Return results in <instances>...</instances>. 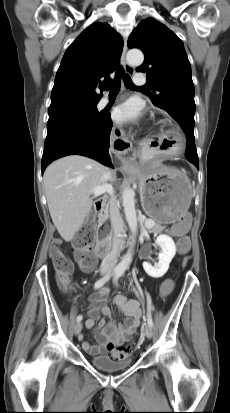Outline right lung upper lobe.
Returning <instances> with one entry per match:
<instances>
[{"instance_id": "obj_1", "label": "right lung upper lobe", "mask_w": 230, "mask_h": 413, "mask_svg": "<svg viewBox=\"0 0 230 413\" xmlns=\"http://www.w3.org/2000/svg\"><path fill=\"white\" fill-rule=\"evenodd\" d=\"M122 37L107 23H93L67 48L57 71L50 107L98 103L95 92L101 78L119 65Z\"/></svg>"}]
</instances>
